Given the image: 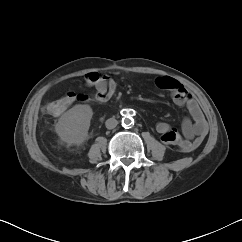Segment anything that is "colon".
Returning <instances> with one entry per match:
<instances>
[{"label": "colon", "instance_id": "obj_1", "mask_svg": "<svg viewBox=\"0 0 242 242\" xmlns=\"http://www.w3.org/2000/svg\"><path fill=\"white\" fill-rule=\"evenodd\" d=\"M95 80H96L95 78H92V81H95ZM110 96H111V94L107 89H100V91L96 92V98L98 100H106ZM65 97L58 99V100L51 101L50 103H48V105H47L48 112H50L51 114H54V115H59L62 112H64L67 109V107L69 106V103L65 99ZM78 98L84 99V96L80 95V96H78Z\"/></svg>", "mask_w": 242, "mask_h": 242}]
</instances>
